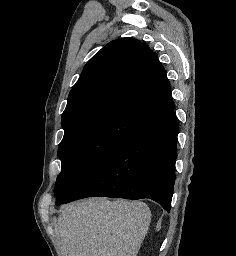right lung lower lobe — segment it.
<instances>
[{"label":"right lung lower lobe","instance_id":"obj_1","mask_svg":"<svg viewBox=\"0 0 236 256\" xmlns=\"http://www.w3.org/2000/svg\"><path fill=\"white\" fill-rule=\"evenodd\" d=\"M178 133L173 109L147 122L99 163L65 200L56 204L94 196L149 198L169 212Z\"/></svg>","mask_w":236,"mask_h":256}]
</instances>
